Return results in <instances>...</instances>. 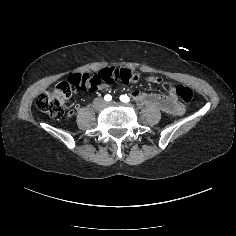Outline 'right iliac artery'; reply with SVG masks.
<instances>
[{"label": "right iliac artery", "mask_w": 236, "mask_h": 236, "mask_svg": "<svg viewBox=\"0 0 236 236\" xmlns=\"http://www.w3.org/2000/svg\"><path fill=\"white\" fill-rule=\"evenodd\" d=\"M104 100L105 101H111L112 100V96L107 94V95L104 96Z\"/></svg>", "instance_id": "right-iliac-artery-1"}]
</instances>
